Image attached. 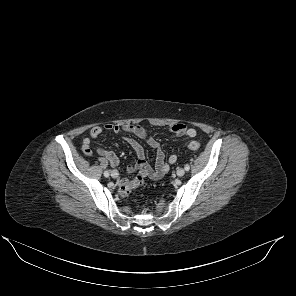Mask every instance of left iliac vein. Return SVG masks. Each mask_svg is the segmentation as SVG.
I'll list each match as a JSON object with an SVG mask.
<instances>
[{
    "label": "left iliac vein",
    "instance_id": "obj_1",
    "mask_svg": "<svg viewBox=\"0 0 296 296\" xmlns=\"http://www.w3.org/2000/svg\"><path fill=\"white\" fill-rule=\"evenodd\" d=\"M176 173L178 177H182L185 174V170L183 168H178Z\"/></svg>",
    "mask_w": 296,
    "mask_h": 296
}]
</instances>
